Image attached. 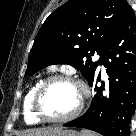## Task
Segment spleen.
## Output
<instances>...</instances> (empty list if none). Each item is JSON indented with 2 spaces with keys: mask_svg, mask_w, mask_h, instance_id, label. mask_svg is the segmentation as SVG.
<instances>
[{
  "mask_svg": "<svg viewBox=\"0 0 136 136\" xmlns=\"http://www.w3.org/2000/svg\"><path fill=\"white\" fill-rule=\"evenodd\" d=\"M81 136H98L90 131H82Z\"/></svg>",
  "mask_w": 136,
  "mask_h": 136,
  "instance_id": "spleen-1",
  "label": "spleen"
}]
</instances>
